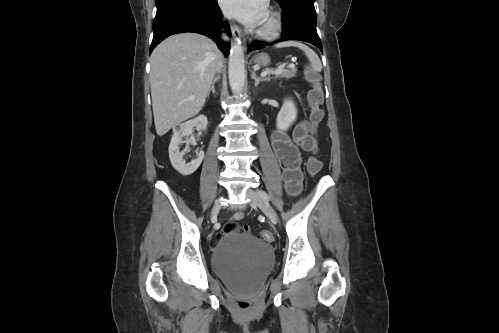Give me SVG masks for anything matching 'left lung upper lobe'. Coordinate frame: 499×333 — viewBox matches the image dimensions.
I'll use <instances>...</instances> for the list:
<instances>
[{"label":"left lung upper lobe","mask_w":499,"mask_h":333,"mask_svg":"<svg viewBox=\"0 0 499 333\" xmlns=\"http://www.w3.org/2000/svg\"><path fill=\"white\" fill-rule=\"evenodd\" d=\"M276 1H277L278 3H280V4H283V3H285L287 0H276Z\"/></svg>","instance_id":"obj_1"}]
</instances>
